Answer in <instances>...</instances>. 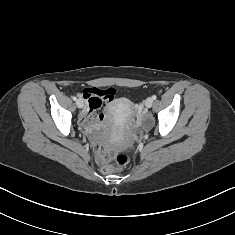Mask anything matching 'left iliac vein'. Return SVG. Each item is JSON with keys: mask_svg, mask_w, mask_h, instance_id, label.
Here are the masks:
<instances>
[{"mask_svg": "<svg viewBox=\"0 0 235 235\" xmlns=\"http://www.w3.org/2000/svg\"><path fill=\"white\" fill-rule=\"evenodd\" d=\"M152 105H153V98H151V97L147 98V99L145 100V106H146L147 108H151Z\"/></svg>", "mask_w": 235, "mask_h": 235, "instance_id": "4c4485c4", "label": "left iliac vein"}]
</instances>
